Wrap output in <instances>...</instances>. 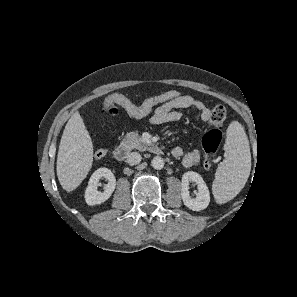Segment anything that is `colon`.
Returning <instances> with one entry per match:
<instances>
[{"label": "colon", "instance_id": "colon-1", "mask_svg": "<svg viewBox=\"0 0 297 297\" xmlns=\"http://www.w3.org/2000/svg\"><path fill=\"white\" fill-rule=\"evenodd\" d=\"M180 96L181 93L179 91L169 90L146 99L141 104V108L143 111H148L161 103L175 100ZM121 103L130 104L133 101L122 94H115L102 101L100 111L112 117L117 116L118 108L115 105H121ZM226 119L227 111L224 106L217 105L211 110L208 122L214 129L208 132L203 138V148L205 151L204 167L208 171L213 167L214 158L222 140V134L219 129L224 125ZM106 154L107 150L105 148H99L95 151V157L98 159L105 157Z\"/></svg>", "mask_w": 297, "mask_h": 297}]
</instances>
